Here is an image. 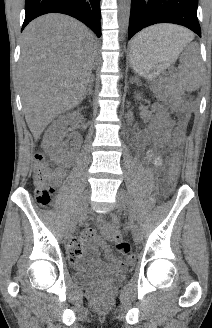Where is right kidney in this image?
I'll return each mask as SVG.
<instances>
[{
  "mask_svg": "<svg viewBox=\"0 0 212 328\" xmlns=\"http://www.w3.org/2000/svg\"><path fill=\"white\" fill-rule=\"evenodd\" d=\"M80 113L79 112H73L68 113L66 115L60 116L49 129V136L46 138V142L49 149H52L50 145L55 146L58 145L61 142L62 138V129L64 128V125L70 122H77L80 119Z\"/></svg>",
  "mask_w": 212,
  "mask_h": 328,
  "instance_id": "ca27d5eb",
  "label": "right kidney"
}]
</instances>
